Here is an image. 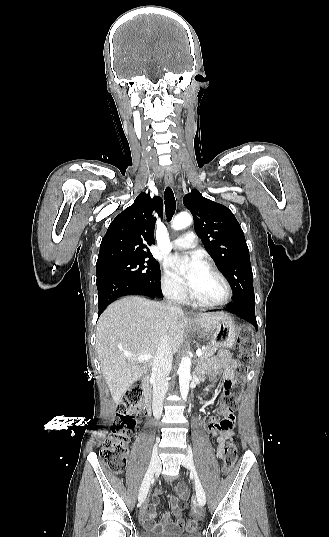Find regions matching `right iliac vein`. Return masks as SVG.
Masks as SVG:
<instances>
[{"mask_svg":"<svg viewBox=\"0 0 329 537\" xmlns=\"http://www.w3.org/2000/svg\"><path fill=\"white\" fill-rule=\"evenodd\" d=\"M156 449L157 448L155 447V450L153 451V454H152V457H151L147 472H146V474L144 476V479L142 481V484H141V487H140V490H139V494H138L139 503H142L145 500V498L147 496V493H148V490H149V487H150L151 480H152L155 472L158 471L159 468H160V460H159V457H158Z\"/></svg>","mask_w":329,"mask_h":537,"instance_id":"1","label":"right iliac vein"}]
</instances>
